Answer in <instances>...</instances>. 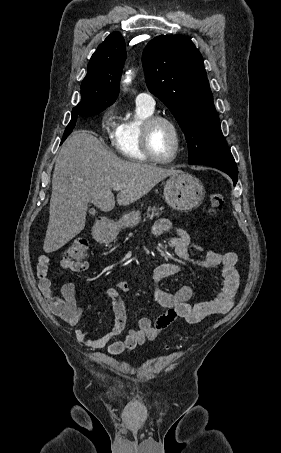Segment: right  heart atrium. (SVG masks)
<instances>
[{"label":"right heart atrium","instance_id":"right-heart-atrium-1","mask_svg":"<svg viewBox=\"0 0 281 453\" xmlns=\"http://www.w3.org/2000/svg\"><path fill=\"white\" fill-rule=\"evenodd\" d=\"M118 126L119 123L116 121V106L110 105L102 113L100 120L101 131L105 136L112 139L116 136ZM107 156L110 157L108 153L103 154V157Z\"/></svg>","mask_w":281,"mask_h":453}]
</instances>
